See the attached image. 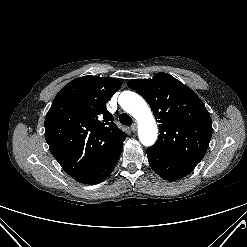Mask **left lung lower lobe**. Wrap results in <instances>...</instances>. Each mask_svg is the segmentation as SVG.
<instances>
[{
	"instance_id": "obj_1",
	"label": "left lung lower lobe",
	"mask_w": 247,
	"mask_h": 247,
	"mask_svg": "<svg viewBox=\"0 0 247 247\" xmlns=\"http://www.w3.org/2000/svg\"><path fill=\"white\" fill-rule=\"evenodd\" d=\"M146 152L153 170L168 181L178 180L187 176L197 165L196 162L175 158L153 147H149Z\"/></svg>"
}]
</instances>
